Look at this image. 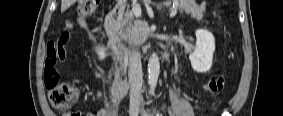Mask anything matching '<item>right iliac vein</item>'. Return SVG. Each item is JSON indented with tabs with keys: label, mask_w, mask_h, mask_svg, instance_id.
I'll return each mask as SVG.
<instances>
[{
	"label": "right iliac vein",
	"mask_w": 283,
	"mask_h": 116,
	"mask_svg": "<svg viewBox=\"0 0 283 116\" xmlns=\"http://www.w3.org/2000/svg\"><path fill=\"white\" fill-rule=\"evenodd\" d=\"M137 113H138V109L136 107L132 106L131 109H130L131 116H136Z\"/></svg>",
	"instance_id": "63e3f726"
}]
</instances>
